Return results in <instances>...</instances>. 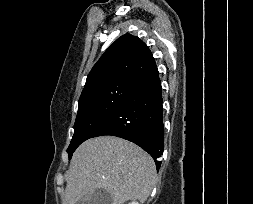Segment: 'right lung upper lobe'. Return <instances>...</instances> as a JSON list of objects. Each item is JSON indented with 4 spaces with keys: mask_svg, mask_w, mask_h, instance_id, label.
<instances>
[{
    "mask_svg": "<svg viewBox=\"0 0 253 204\" xmlns=\"http://www.w3.org/2000/svg\"><path fill=\"white\" fill-rule=\"evenodd\" d=\"M155 66V60L147 45L138 37L125 34L119 37L94 65L87 76L82 94L114 82H137Z\"/></svg>",
    "mask_w": 253,
    "mask_h": 204,
    "instance_id": "1",
    "label": "right lung upper lobe"
}]
</instances>
